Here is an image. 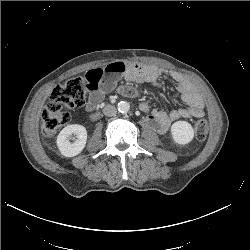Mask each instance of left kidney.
Instances as JSON below:
<instances>
[{
	"label": "left kidney",
	"instance_id": "1",
	"mask_svg": "<svg viewBox=\"0 0 250 250\" xmlns=\"http://www.w3.org/2000/svg\"><path fill=\"white\" fill-rule=\"evenodd\" d=\"M171 135L176 144L185 145L192 141L194 130L190 123L177 121L171 126Z\"/></svg>",
	"mask_w": 250,
	"mask_h": 250
}]
</instances>
